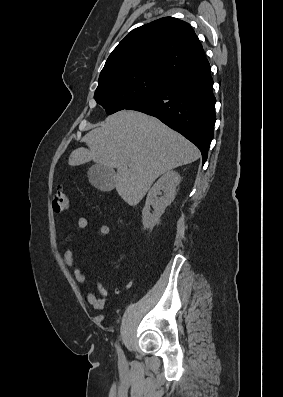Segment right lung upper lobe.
<instances>
[{
  "label": "right lung upper lobe",
  "instance_id": "right-lung-upper-lobe-1",
  "mask_svg": "<svg viewBox=\"0 0 283 397\" xmlns=\"http://www.w3.org/2000/svg\"><path fill=\"white\" fill-rule=\"evenodd\" d=\"M207 65L191 25L165 17L132 30L108 57L99 80L143 74L169 81Z\"/></svg>",
  "mask_w": 283,
  "mask_h": 397
}]
</instances>
